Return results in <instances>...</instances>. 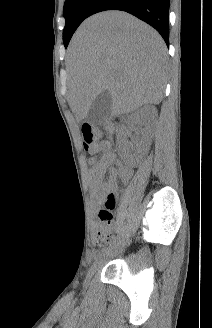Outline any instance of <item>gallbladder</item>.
Instances as JSON below:
<instances>
[{
  "mask_svg": "<svg viewBox=\"0 0 212 328\" xmlns=\"http://www.w3.org/2000/svg\"><path fill=\"white\" fill-rule=\"evenodd\" d=\"M112 97L108 91L100 93L93 101L86 116L91 125H98L110 116Z\"/></svg>",
  "mask_w": 212,
  "mask_h": 328,
  "instance_id": "gallbladder-1",
  "label": "gallbladder"
}]
</instances>
